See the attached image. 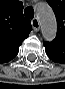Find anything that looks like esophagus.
<instances>
[{
	"instance_id": "obj_1",
	"label": "esophagus",
	"mask_w": 65,
	"mask_h": 89,
	"mask_svg": "<svg viewBox=\"0 0 65 89\" xmlns=\"http://www.w3.org/2000/svg\"><path fill=\"white\" fill-rule=\"evenodd\" d=\"M32 27L35 31H39L40 29V23H39V20L37 18H34L32 20Z\"/></svg>"
}]
</instances>
